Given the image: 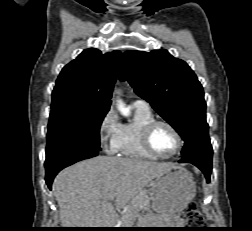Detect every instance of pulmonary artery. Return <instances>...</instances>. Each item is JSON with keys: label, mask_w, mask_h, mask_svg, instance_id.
Instances as JSON below:
<instances>
[{"label": "pulmonary artery", "mask_w": 252, "mask_h": 231, "mask_svg": "<svg viewBox=\"0 0 252 231\" xmlns=\"http://www.w3.org/2000/svg\"><path fill=\"white\" fill-rule=\"evenodd\" d=\"M134 106H139V107H145V108H150L149 104L143 100V99H137L133 102Z\"/></svg>", "instance_id": "pulmonary-artery-1"}]
</instances>
